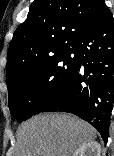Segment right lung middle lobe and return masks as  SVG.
I'll list each match as a JSON object with an SVG mask.
<instances>
[{"instance_id":"obj_1","label":"right lung middle lobe","mask_w":114,"mask_h":156,"mask_svg":"<svg viewBox=\"0 0 114 156\" xmlns=\"http://www.w3.org/2000/svg\"><path fill=\"white\" fill-rule=\"evenodd\" d=\"M77 65L71 49L21 73L8 87L11 114L22 121L44 111L63 92Z\"/></svg>"}]
</instances>
